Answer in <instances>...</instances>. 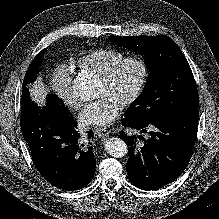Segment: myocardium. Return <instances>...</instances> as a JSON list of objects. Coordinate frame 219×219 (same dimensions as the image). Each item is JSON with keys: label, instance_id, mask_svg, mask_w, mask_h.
Instances as JSON below:
<instances>
[{"label": "myocardium", "instance_id": "obj_1", "mask_svg": "<svg viewBox=\"0 0 219 219\" xmlns=\"http://www.w3.org/2000/svg\"><path fill=\"white\" fill-rule=\"evenodd\" d=\"M129 63H135L139 66L140 76L137 85L135 86L132 93L122 102L121 105L123 107H129L133 105L142 95L149 77V65L147 60L140 55H131L124 57L115 65H113L110 69H108L103 75L100 76V79L104 83L110 84L115 80L122 68Z\"/></svg>", "mask_w": 219, "mask_h": 219}]
</instances>
